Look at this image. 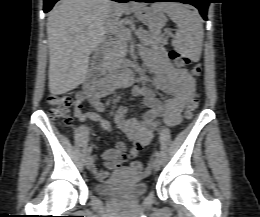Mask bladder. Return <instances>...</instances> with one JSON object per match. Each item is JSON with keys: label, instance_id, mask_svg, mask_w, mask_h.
Instances as JSON below:
<instances>
[{"label": "bladder", "instance_id": "bladder-1", "mask_svg": "<svg viewBox=\"0 0 260 217\" xmlns=\"http://www.w3.org/2000/svg\"><path fill=\"white\" fill-rule=\"evenodd\" d=\"M140 175L128 167H120L108 178L106 183L96 186L98 194L105 198H115L128 202L143 199L147 186L140 181Z\"/></svg>", "mask_w": 260, "mask_h": 217}]
</instances>
